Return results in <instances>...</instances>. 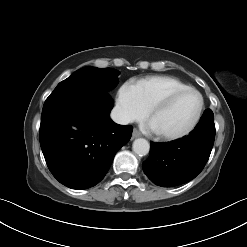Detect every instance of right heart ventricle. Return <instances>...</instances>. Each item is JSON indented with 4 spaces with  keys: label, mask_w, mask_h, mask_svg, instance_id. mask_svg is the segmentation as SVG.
Instances as JSON below:
<instances>
[{
    "label": "right heart ventricle",
    "mask_w": 247,
    "mask_h": 247,
    "mask_svg": "<svg viewBox=\"0 0 247 247\" xmlns=\"http://www.w3.org/2000/svg\"><path fill=\"white\" fill-rule=\"evenodd\" d=\"M134 86L137 88L141 102L147 110L169 92L189 87L177 78L163 75L141 79Z\"/></svg>",
    "instance_id": "right-heart-ventricle-1"
}]
</instances>
